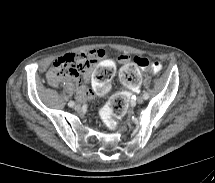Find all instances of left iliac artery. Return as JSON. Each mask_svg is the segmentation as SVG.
<instances>
[{"mask_svg": "<svg viewBox=\"0 0 215 183\" xmlns=\"http://www.w3.org/2000/svg\"><path fill=\"white\" fill-rule=\"evenodd\" d=\"M143 97H144L145 100H147V99L149 98V94H148L147 92H145V93L143 94Z\"/></svg>", "mask_w": 215, "mask_h": 183, "instance_id": "44dca946", "label": "left iliac artery"}]
</instances>
